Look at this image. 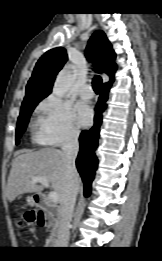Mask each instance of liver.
Wrapping results in <instances>:
<instances>
[{"label": "liver", "mask_w": 162, "mask_h": 261, "mask_svg": "<svg viewBox=\"0 0 162 261\" xmlns=\"http://www.w3.org/2000/svg\"><path fill=\"white\" fill-rule=\"evenodd\" d=\"M66 166L63 151L54 148H43L36 151L20 153L12 163L7 183V198L12 202L23 193H41L44 186L32 183V177H46L54 192L62 199ZM79 186V176L77 175Z\"/></svg>", "instance_id": "1"}]
</instances>
